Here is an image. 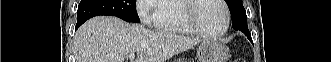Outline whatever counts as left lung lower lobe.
Masks as SVG:
<instances>
[{"instance_id":"obj_1","label":"left lung lower lobe","mask_w":331,"mask_h":62,"mask_svg":"<svg viewBox=\"0 0 331 62\" xmlns=\"http://www.w3.org/2000/svg\"><path fill=\"white\" fill-rule=\"evenodd\" d=\"M232 27L235 29V30H240L242 31L243 33H245V35L248 37L249 40H251V35L249 32L245 31L239 24H236V23H233L232 22Z\"/></svg>"}]
</instances>
